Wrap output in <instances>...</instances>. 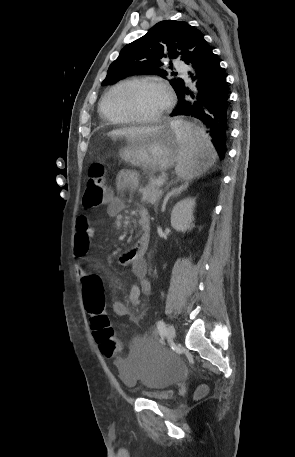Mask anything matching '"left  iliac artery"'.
<instances>
[{"mask_svg": "<svg viewBox=\"0 0 295 457\" xmlns=\"http://www.w3.org/2000/svg\"><path fill=\"white\" fill-rule=\"evenodd\" d=\"M157 329H158V332H159L161 338L163 339V337L166 334V324L164 323V321L159 320L157 322Z\"/></svg>", "mask_w": 295, "mask_h": 457, "instance_id": "obj_1", "label": "left iliac artery"}]
</instances>
